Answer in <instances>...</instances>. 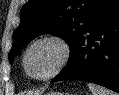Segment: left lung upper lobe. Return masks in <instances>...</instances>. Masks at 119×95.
Listing matches in <instances>:
<instances>
[{
	"mask_svg": "<svg viewBox=\"0 0 119 95\" xmlns=\"http://www.w3.org/2000/svg\"><path fill=\"white\" fill-rule=\"evenodd\" d=\"M112 0H29L21 9V23L13 34L10 63L25 44L39 35L51 33L70 46L67 66L97 15ZM64 68V69H65Z\"/></svg>",
	"mask_w": 119,
	"mask_h": 95,
	"instance_id": "5c2ea615",
	"label": "left lung upper lobe"
}]
</instances>
